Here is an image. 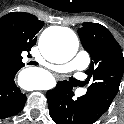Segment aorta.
<instances>
[{"label": "aorta", "instance_id": "aorta-1", "mask_svg": "<svg viewBox=\"0 0 124 124\" xmlns=\"http://www.w3.org/2000/svg\"><path fill=\"white\" fill-rule=\"evenodd\" d=\"M79 47L78 38L70 29L62 28L54 35L43 33L40 38V49L49 61L65 63L71 60ZM31 70H24L19 75L21 85L27 90H36L39 86L29 81Z\"/></svg>", "mask_w": 124, "mask_h": 124}]
</instances>
